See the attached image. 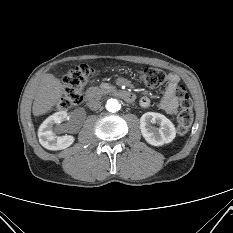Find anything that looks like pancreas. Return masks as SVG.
<instances>
[{"label":"pancreas","mask_w":233,"mask_h":233,"mask_svg":"<svg viewBox=\"0 0 233 233\" xmlns=\"http://www.w3.org/2000/svg\"><path fill=\"white\" fill-rule=\"evenodd\" d=\"M114 87L110 85L109 83H101L99 88L98 87H92L89 89L91 92L100 91L101 93H108L110 90H113Z\"/></svg>","instance_id":"1"}]
</instances>
